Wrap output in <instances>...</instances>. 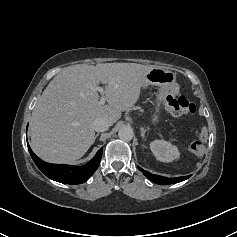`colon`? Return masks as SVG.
<instances>
[{
  "mask_svg": "<svg viewBox=\"0 0 237 237\" xmlns=\"http://www.w3.org/2000/svg\"><path fill=\"white\" fill-rule=\"evenodd\" d=\"M165 109L173 116H183L192 114L196 111V107L184 95L169 94L165 98ZM207 142V130L202 125L199 130L198 138L191 144L190 150L196 155L204 152Z\"/></svg>",
  "mask_w": 237,
  "mask_h": 237,
  "instance_id": "1",
  "label": "colon"
}]
</instances>
